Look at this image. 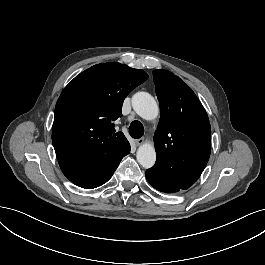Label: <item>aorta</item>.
Segmentation results:
<instances>
[{
    "label": "aorta",
    "mask_w": 265,
    "mask_h": 265,
    "mask_svg": "<svg viewBox=\"0 0 265 265\" xmlns=\"http://www.w3.org/2000/svg\"><path fill=\"white\" fill-rule=\"evenodd\" d=\"M132 105L135 112L146 121L159 116V106L154 97L147 92H138L132 98ZM136 158L144 168H150L156 161L155 146L152 142H144L136 151Z\"/></svg>",
    "instance_id": "1"
}]
</instances>
